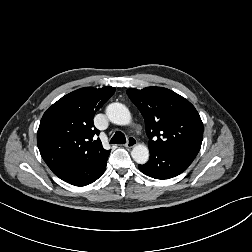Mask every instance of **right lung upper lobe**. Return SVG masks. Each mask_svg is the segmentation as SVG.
I'll return each instance as SVG.
<instances>
[{
	"label": "right lung upper lobe",
	"instance_id": "cb5924a9",
	"mask_svg": "<svg viewBox=\"0 0 252 252\" xmlns=\"http://www.w3.org/2000/svg\"><path fill=\"white\" fill-rule=\"evenodd\" d=\"M114 92L113 87H84L65 95L44 113L37 144L53 173L80 162L108 157L110 150L93 138L99 135L93 117Z\"/></svg>",
	"mask_w": 252,
	"mask_h": 252
}]
</instances>
